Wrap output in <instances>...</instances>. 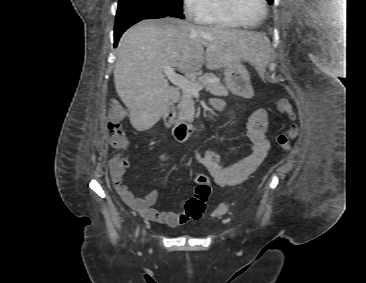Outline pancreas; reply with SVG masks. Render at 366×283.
I'll list each match as a JSON object with an SVG mask.
<instances>
[{"mask_svg":"<svg viewBox=\"0 0 366 283\" xmlns=\"http://www.w3.org/2000/svg\"><path fill=\"white\" fill-rule=\"evenodd\" d=\"M190 79L203 85L206 88V91L214 96H228L227 88L214 75L205 74L201 77H197L196 74H191ZM178 110L181 118L189 122L193 121L195 108L192 94L182 92Z\"/></svg>","mask_w":366,"mask_h":283,"instance_id":"cf45deb5","label":"pancreas"}]
</instances>
